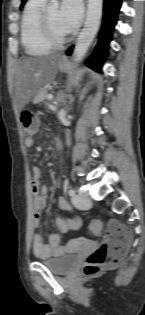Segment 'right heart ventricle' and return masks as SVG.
<instances>
[{
    "label": "right heart ventricle",
    "instance_id": "right-heart-ventricle-1",
    "mask_svg": "<svg viewBox=\"0 0 145 315\" xmlns=\"http://www.w3.org/2000/svg\"><path fill=\"white\" fill-rule=\"evenodd\" d=\"M44 11L42 0H30L22 14L20 35L25 51L29 55L40 56L51 52L52 46L45 40L40 20Z\"/></svg>",
    "mask_w": 145,
    "mask_h": 315
}]
</instances>
